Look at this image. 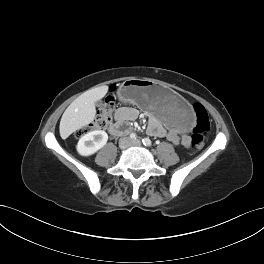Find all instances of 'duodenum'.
I'll use <instances>...</instances> for the list:
<instances>
[{"instance_id": "410a0bca", "label": "duodenum", "mask_w": 264, "mask_h": 264, "mask_svg": "<svg viewBox=\"0 0 264 264\" xmlns=\"http://www.w3.org/2000/svg\"><path fill=\"white\" fill-rule=\"evenodd\" d=\"M109 132L112 135H122V134H125L127 132V130L122 128V126L120 124L116 123V124H113L109 127Z\"/></svg>"}]
</instances>
